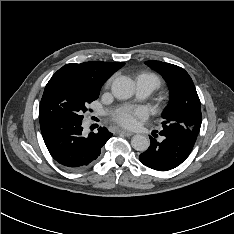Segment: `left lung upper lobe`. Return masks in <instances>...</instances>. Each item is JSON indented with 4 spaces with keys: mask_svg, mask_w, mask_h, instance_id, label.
<instances>
[{
    "mask_svg": "<svg viewBox=\"0 0 234 234\" xmlns=\"http://www.w3.org/2000/svg\"><path fill=\"white\" fill-rule=\"evenodd\" d=\"M145 63L160 73L169 86L170 104L163 115V130L180 135L194 145L200 131L202 114L191 77L183 68L173 64L155 60Z\"/></svg>",
    "mask_w": 234,
    "mask_h": 234,
    "instance_id": "obj_1",
    "label": "left lung upper lobe"
}]
</instances>
